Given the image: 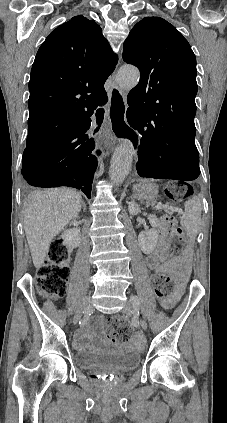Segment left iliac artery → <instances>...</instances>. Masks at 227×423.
Here are the masks:
<instances>
[{"label": "left iliac artery", "mask_w": 227, "mask_h": 423, "mask_svg": "<svg viewBox=\"0 0 227 423\" xmlns=\"http://www.w3.org/2000/svg\"><path fill=\"white\" fill-rule=\"evenodd\" d=\"M130 301L132 302V304H137V306L134 307V310L135 311H138V313H139V310H140V307H139L140 306V302H139L138 297L135 296V295H132Z\"/></svg>", "instance_id": "44dca946"}]
</instances>
